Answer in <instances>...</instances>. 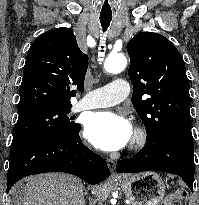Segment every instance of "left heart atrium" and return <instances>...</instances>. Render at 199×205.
Returning <instances> with one entry per match:
<instances>
[{"instance_id":"left-heart-atrium-1","label":"left heart atrium","mask_w":199,"mask_h":205,"mask_svg":"<svg viewBox=\"0 0 199 205\" xmlns=\"http://www.w3.org/2000/svg\"><path fill=\"white\" fill-rule=\"evenodd\" d=\"M85 137L102 150L116 151L130 141L132 126L121 114L97 112L91 114L86 122Z\"/></svg>"}]
</instances>
